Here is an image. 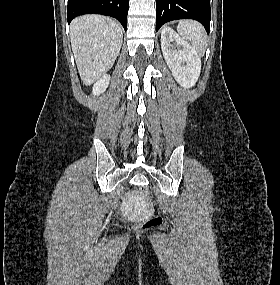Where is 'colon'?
I'll use <instances>...</instances> for the list:
<instances>
[{"label":"colon","instance_id":"1","mask_svg":"<svg viewBox=\"0 0 280 285\" xmlns=\"http://www.w3.org/2000/svg\"><path fill=\"white\" fill-rule=\"evenodd\" d=\"M139 192L144 198H149L150 193L145 186L139 187ZM162 224V218L160 216L154 215L147 218L141 225L138 226V230L144 231L152 228L159 227Z\"/></svg>","mask_w":280,"mask_h":285}]
</instances>
